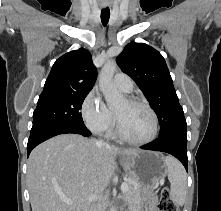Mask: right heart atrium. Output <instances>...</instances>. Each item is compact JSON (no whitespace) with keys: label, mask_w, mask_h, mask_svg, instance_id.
Returning a JSON list of instances; mask_svg holds the SVG:
<instances>
[{"label":"right heart atrium","mask_w":221,"mask_h":211,"mask_svg":"<svg viewBox=\"0 0 221 211\" xmlns=\"http://www.w3.org/2000/svg\"><path fill=\"white\" fill-rule=\"evenodd\" d=\"M81 115L87 128L96 134H108L115 125L112 111L96 90L90 91L83 100Z\"/></svg>","instance_id":"obj_1"}]
</instances>
